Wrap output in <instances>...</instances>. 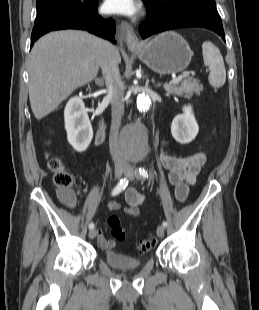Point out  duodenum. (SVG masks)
<instances>
[{
  "instance_id": "duodenum-1",
  "label": "duodenum",
  "mask_w": 259,
  "mask_h": 310,
  "mask_svg": "<svg viewBox=\"0 0 259 310\" xmlns=\"http://www.w3.org/2000/svg\"><path fill=\"white\" fill-rule=\"evenodd\" d=\"M104 137V127L101 124L97 131L96 141L99 143Z\"/></svg>"
}]
</instances>
